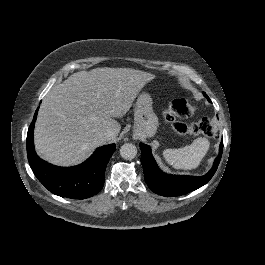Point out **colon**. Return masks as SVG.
<instances>
[{
	"label": "colon",
	"instance_id": "5ec220e1",
	"mask_svg": "<svg viewBox=\"0 0 265 265\" xmlns=\"http://www.w3.org/2000/svg\"><path fill=\"white\" fill-rule=\"evenodd\" d=\"M195 112L194 106L185 99H175L164 112V118L172 126V129L179 135L188 133L216 137L218 131L207 118H202L190 126L182 120L190 117Z\"/></svg>",
	"mask_w": 265,
	"mask_h": 265
}]
</instances>
